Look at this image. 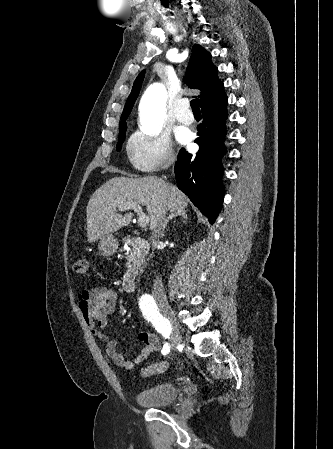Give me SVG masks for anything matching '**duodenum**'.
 <instances>
[{
  "label": "duodenum",
  "mask_w": 333,
  "mask_h": 449,
  "mask_svg": "<svg viewBox=\"0 0 333 449\" xmlns=\"http://www.w3.org/2000/svg\"><path fill=\"white\" fill-rule=\"evenodd\" d=\"M127 243L132 245L140 255L145 254L149 249V243L146 239L143 238H128L126 239ZM141 270V266L139 263H134L124 274L122 287L127 292H132L135 289L137 276Z\"/></svg>",
  "instance_id": "410a0bca"
}]
</instances>
